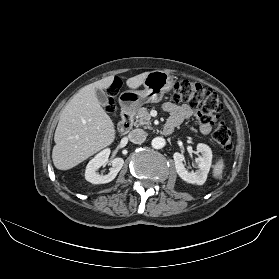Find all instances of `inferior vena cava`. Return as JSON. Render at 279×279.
Here are the masks:
<instances>
[{"instance_id": "602c4592", "label": "inferior vena cava", "mask_w": 279, "mask_h": 279, "mask_svg": "<svg viewBox=\"0 0 279 279\" xmlns=\"http://www.w3.org/2000/svg\"><path fill=\"white\" fill-rule=\"evenodd\" d=\"M128 137L131 142L135 144H141L146 140L147 135L146 132H144L143 130L135 129L129 133Z\"/></svg>"}]
</instances>
